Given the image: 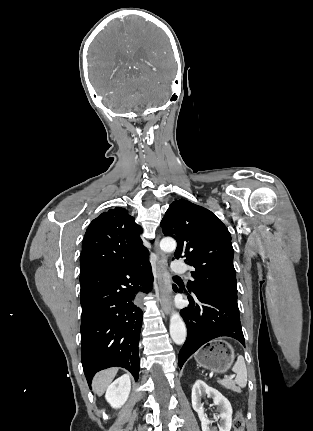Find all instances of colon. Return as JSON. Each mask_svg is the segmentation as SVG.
Wrapping results in <instances>:
<instances>
[{
	"mask_svg": "<svg viewBox=\"0 0 313 431\" xmlns=\"http://www.w3.org/2000/svg\"><path fill=\"white\" fill-rule=\"evenodd\" d=\"M234 431H244V419L241 413H238L233 423Z\"/></svg>",
	"mask_w": 313,
	"mask_h": 431,
	"instance_id": "1",
	"label": "colon"
}]
</instances>
